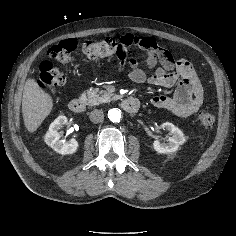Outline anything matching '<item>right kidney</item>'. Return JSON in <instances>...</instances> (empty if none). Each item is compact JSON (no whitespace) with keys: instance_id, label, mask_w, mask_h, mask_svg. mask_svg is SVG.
<instances>
[{"instance_id":"ca27d5eb","label":"right kidney","mask_w":236,"mask_h":236,"mask_svg":"<svg viewBox=\"0 0 236 236\" xmlns=\"http://www.w3.org/2000/svg\"><path fill=\"white\" fill-rule=\"evenodd\" d=\"M65 124H67V117L64 115L58 116L50 124L49 129L44 137L45 143L57 153L62 155L75 153L79 146L75 139H70L69 141L60 140L58 130Z\"/></svg>"}]
</instances>
